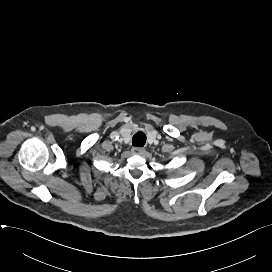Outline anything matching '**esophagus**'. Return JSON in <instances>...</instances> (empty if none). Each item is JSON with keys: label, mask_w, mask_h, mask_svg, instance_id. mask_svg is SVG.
<instances>
[{"label": "esophagus", "mask_w": 272, "mask_h": 272, "mask_svg": "<svg viewBox=\"0 0 272 272\" xmlns=\"http://www.w3.org/2000/svg\"><path fill=\"white\" fill-rule=\"evenodd\" d=\"M134 154L143 155L145 153V149L142 147H134L132 149Z\"/></svg>", "instance_id": "34e87169"}]
</instances>
